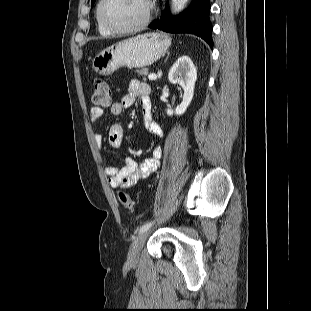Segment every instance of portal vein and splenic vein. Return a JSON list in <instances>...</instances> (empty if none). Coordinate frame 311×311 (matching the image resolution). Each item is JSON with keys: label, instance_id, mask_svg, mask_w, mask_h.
I'll list each match as a JSON object with an SVG mask.
<instances>
[{"label": "portal vein and splenic vein", "instance_id": "portal-vein-and-splenic-vein-1", "mask_svg": "<svg viewBox=\"0 0 311 311\" xmlns=\"http://www.w3.org/2000/svg\"><path fill=\"white\" fill-rule=\"evenodd\" d=\"M148 79H149V80H155V79H157V75L154 74V73L149 74V75H148Z\"/></svg>", "mask_w": 311, "mask_h": 311}]
</instances>
